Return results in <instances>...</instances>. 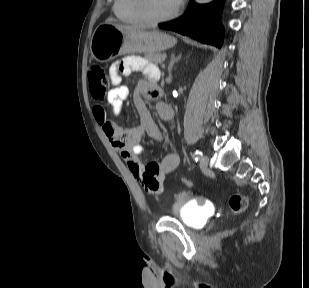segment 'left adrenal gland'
Here are the masks:
<instances>
[{
    "instance_id": "left-adrenal-gland-1",
    "label": "left adrenal gland",
    "mask_w": 309,
    "mask_h": 288,
    "mask_svg": "<svg viewBox=\"0 0 309 288\" xmlns=\"http://www.w3.org/2000/svg\"><path fill=\"white\" fill-rule=\"evenodd\" d=\"M180 58H181V54L178 57H175L174 53L171 54V60L168 66L169 77H171V71H172L173 65L177 63Z\"/></svg>"
}]
</instances>
